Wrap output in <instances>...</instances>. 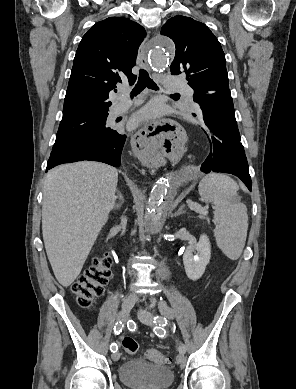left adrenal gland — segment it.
<instances>
[{
	"instance_id": "left-adrenal-gland-1",
	"label": "left adrenal gland",
	"mask_w": 296,
	"mask_h": 389,
	"mask_svg": "<svg viewBox=\"0 0 296 389\" xmlns=\"http://www.w3.org/2000/svg\"><path fill=\"white\" fill-rule=\"evenodd\" d=\"M184 207H185V205L180 206L179 209L177 210V212H175L174 216H179L181 214H184L185 213V211L183 210Z\"/></svg>"
}]
</instances>
